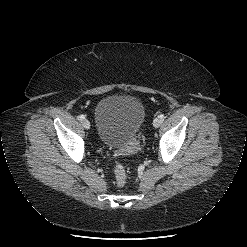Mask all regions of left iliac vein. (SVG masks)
Instances as JSON below:
<instances>
[{"mask_svg":"<svg viewBox=\"0 0 247 247\" xmlns=\"http://www.w3.org/2000/svg\"><path fill=\"white\" fill-rule=\"evenodd\" d=\"M161 119L159 118V117H157V118H155L154 120H153V126L155 127V128H158L160 125H161Z\"/></svg>","mask_w":247,"mask_h":247,"instance_id":"left-iliac-vein-1","label":"left iliac vein"}]
</instances>
